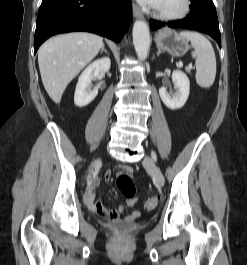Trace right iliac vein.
Instances as JSON below:
<instances>
[{"instance_id":"1","label":"right iliac vein","mask_w":247,"mask_h":265,"mask_svg":"<svg viewBox=\"0 0 247 265\" xmlns=\"http://www.w3.org/2000/svg\"><path fill=\"white\" fill-rule=\"evenodd\" d=\"M101 164V159H96L91 166V169L89 171V176H91L95 170V168H97L99 165Z\"/></svg>"}]
</instances>
